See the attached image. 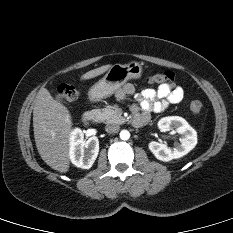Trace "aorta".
Listing matches in <instances>:
<instances>
[{"label":"aorta","instance_id":"762f6f07","mask_svg":"<svg viewBox=\"0 0 233 233\" xmlns=\"http://www.w3.org/2000/svg\"><path fill=\"white\" fill-rule=\"evenodd\" d=\"M120 138H121L122 140H128V139L130 138V133H129V131H127V130H122V131L120 132Z\"/></svg>","mask_w":233,"mask_h":233}]
</instances>
